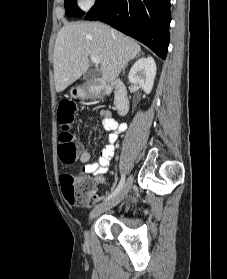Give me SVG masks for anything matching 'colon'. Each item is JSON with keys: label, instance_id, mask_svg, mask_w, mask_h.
Masks as SVG:
<instances>
[{"label": "colon", "instance_id": "obj_1", "mask_svg": "<svg viewBox=\"0 0 227 279\" xmlns=\"http://www.w3.org/2000/svg\"><path fill=\"white\" fill-rule=\"evenodd\" d=\"M76 107L70 101L61 102L58 109V122L62 126V131L58 138V156L64 165H71L77 159L80 146L76 137L70 131V124L74 121ZM63 190L73 194L76 204H83L89 199H96L98 196L95 191L90 189L87 182L80 180L72 175L63 177Z\"/></svg>", "mask_w": 227, "mask_h": 279}]
</instances>
